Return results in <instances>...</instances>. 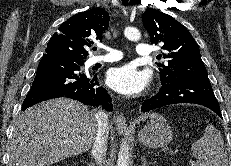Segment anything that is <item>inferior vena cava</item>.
I'll list each match as a JSON object with an SVG mask.
<instances>
[{
	"label": "inferior vena cava",
	"instance_id": "obj_1",
	"mask_svg": "<svg viewBox=\"0 0 231 166\" xmlns=\"http://www.w3.org/2000/svg\"><path fill=\"white\" fill-rule=\"evenodd\" d=\"M95 118L98 123V130L91 153L96 163L102 166V163L106 157L107 140L109 134L108 114L104 110H99L95 114Z\"/></svg>",
	"mask_w": 231,
	"mask_h": 166
}]
</instances>
